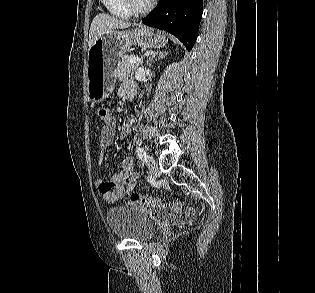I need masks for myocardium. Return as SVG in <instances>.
<instances>
[{
    "label": "myocardium",
    "mask_w": 315,
    "mask_h": 293,
    "mask_svg": "<svg viewBox=\"0 0 315 293\" xmlns=\"http://www.w3.org/2000/svg\"><path fill=\"white\" fill-rule=\"evenodd\" d=\"M125 7L132 13V14H144L148 12L154 3V0H150L146 5L139 6L137 5L135 0H123Z\"/></svg>",
    "instance_id": "myocardium-1"
}]
</instances>
